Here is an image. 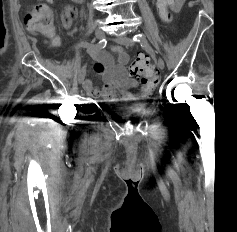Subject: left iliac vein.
Listing matches in <instances>:
<instances>
[{"label":"left iliac vein","mask_w":237,"mask_h":232,"mask_svg":"<svg viewBox=\"0 0 237 232\" xmlns=\"http://www.w3.org/2000/svg\"><path fill=\"white\" fill-rule=\"evenodd\" d=\"M114 40L118 44H121V45L126 46V47L133 45V41L130 38H128L127 36H122V35L117 36V37L114 38ZM158 66L161 70H163L164 67H165V63L161 58H159V60H158Z\"/></svg>","instance_id":"obj_1"}]
</instances>
